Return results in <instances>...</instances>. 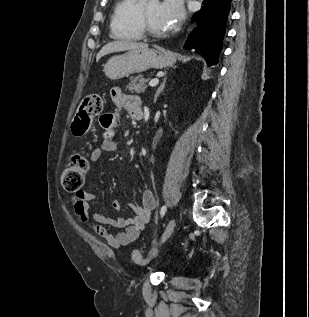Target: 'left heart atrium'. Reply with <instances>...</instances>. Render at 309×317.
Listing matches in <instances>:
<instances>
[{
  "instance_id": "obj_1",
  "label": "left heart atrium",
  "mask_w": 309,
  "mask_h": 317,
  "mask_svg": "<svg viewBox=\"0 0 309 317\" xmlns=\"http://www.w3.org/2000/svg\"><path fill=\"white\" fill-rule=\"evenodd\" d=\"M160 13L167 29L175 28L185 15L183 0H163Z\"/></svg>"
}]
</instances>
